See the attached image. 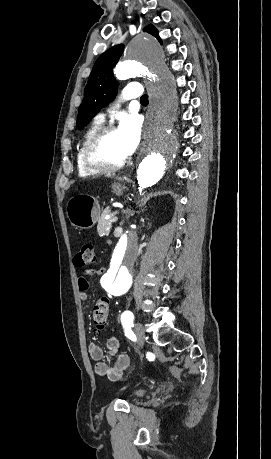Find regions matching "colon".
Returning a JSON list of instances; mask_svg holds the SVG:
<instances>
[{"label":"colon","mask_w":271,"mask_h":459,"mask_svg":"<svg viewBox=\"0 0 271 459\" xmlns=\"http://www.w3.org/2000/svg\"><path fill=\"white\" fill-rule=\"evenodd\" d=\"M96 260L93 245L84 243L81 249L74 257V264L78 267L93 264ZM109 312V299L107 297L99 298L93 308L92 322L97 332L103 330L107 324Z\"/></svg>","instance_id":"obj_1"}]
</instances>
